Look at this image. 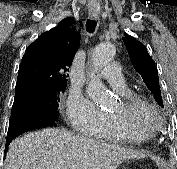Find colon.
Masks as SVG:
<instances>
[{
	"mask_svg": "<svg viewBox=\"0 0 177 169\" xmlns=\"http://www.w3.org/2000/svg\"><path fill=\"white\" fill-rule=\"evenodd\" d=\"M155 169H164L163 167H158V168H155Z\"/></svg>",
	"mask_w": 177,
	"mask_h": 169,
	"instance_id": "obj_1",
	"label": "colon"
}]
</instances>
